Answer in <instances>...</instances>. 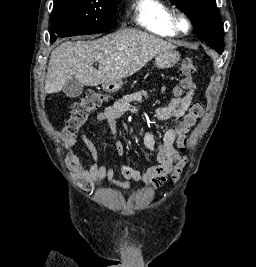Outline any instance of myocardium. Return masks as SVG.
<instances>
[{"label": "myocardium", "instance_id": "myocardium-1", "mask_svg": "<svg viewBox=\"0 0 256 267\" xmlns=\"http://www.w3.org/2000/svg\"><path fill=\"white\" fill-rule=\"evenodd\" d=\"M172 23L179 33L187 34L191 27L192 22L188 13L181 7H178L172 14Z\"/></svg>", "mask_w": 256, "mask_h": 267}]
</instances>
